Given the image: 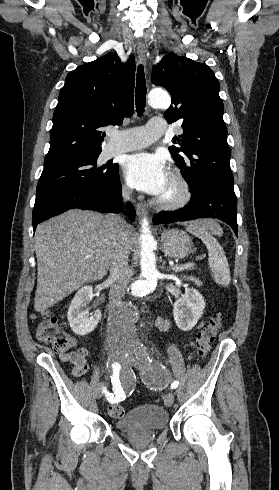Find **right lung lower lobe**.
I'll return each instance as SVG.
<instances>
[{
	"mask_svg": "<svg viewBox=\"0 0 279 490\" xmlns=\"http://www.w3.org/2000/svg\"><path fill=\"white\" fill-rule=\"evenodd\" d=\"M74 208L119 213L122 210L119 174L109 183L49 187L38 191L33 208L34 231L38 223ZM129 216L133 220L135 211L133 210Z\"/></svg>",
	"mask_w": 279,
	"mask_h": 490,
	"instance_id": "right-lung-lower-lobe-1",
	"label": "right lung lower lobe"
}]
</instances>
